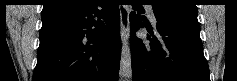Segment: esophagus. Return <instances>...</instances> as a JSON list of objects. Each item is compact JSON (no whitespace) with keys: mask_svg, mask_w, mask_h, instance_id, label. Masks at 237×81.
Here are the masks:
<instances>
[{"mask_svg":"<svg viewBox=\"0 0 237 81\" xmlns=\"http://www.w3.org/2000/svg\"><path fill=\"white\" fill-rule=\"evenodd\" d=\"M119 9H120L121 39L123 43H126L130 36L129 10L125 5H120Z\"/></svg>","mask_w":237,"mask_h":81,"instance_id":"34e87169","label":"esophagus"}]
</instances>
